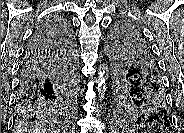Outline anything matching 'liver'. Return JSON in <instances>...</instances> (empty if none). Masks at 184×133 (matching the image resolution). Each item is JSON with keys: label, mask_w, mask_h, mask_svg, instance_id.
Listing matches in <instances>:
<instances>
[{"label": "liver", "mask_w": 184, "mask_h": 133, "mask_svg": "<svg viewBox=\"0 0 184 133\" xmlns=\"http://www.w3.org/2000/svg\"><path fill=\"white\" fill-rule=\"evenodd\" d=\"M21 130L28 133H59L57 128L43 120L31 123Z\"/></svg>", "instance_id": "obj_1"}]
</instances>
